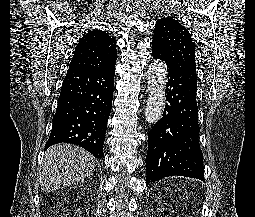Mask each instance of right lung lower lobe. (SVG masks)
<instances>
[{
    "label": "right lung lower lobe",
    "mask_w": 255,
    "mask_h": 217,
    "mask_svg": "<svg viewBox=\"0 0 255 217\" xmlns=\"http://www.w3.org/2000/svg\"><path fill=\"white\" fill-rule=\"evenodd\" d=\"M115 63L98 69L67 71L46 149L67 142L81 146L96 158L104 157Z\"/></svg>",
    "instance_id": "right-lung-lower-lobe-1"
}]
</instances>
